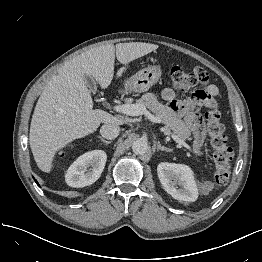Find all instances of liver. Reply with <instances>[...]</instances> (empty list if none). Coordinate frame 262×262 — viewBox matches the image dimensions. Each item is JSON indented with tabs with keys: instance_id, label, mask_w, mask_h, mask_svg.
I'll return each instance as SVG.
<instances>
[{
	"instance_id": "obj_1",
	"label": "liver",
	"mask_w": 262,
	"mask_h": 262,
	"mask_svg": "<svg viewBox=\"0 0 262 262\" xmlns=\"http://www.w3.org/2000/svg\"><path fill=\"white\" fill-rule=\"evenodd\" d=\"M158 47L143 42L103 45L83 52L59 68L58 74L53 75L44 87L31 120L29 143L40 170L49 173L59 150L93 133L100 123H125L122 117L93 109L84 76H93L105 89L114 76L115 53L121 64L128 65ZM125 71L126 67L120 68L117 78Z\"/></svg>"
}]
</instances>
